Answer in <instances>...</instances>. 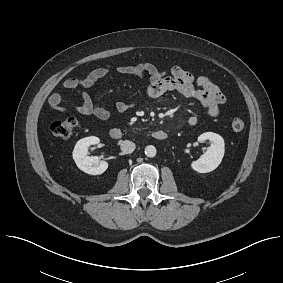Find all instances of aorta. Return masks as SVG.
<instances>
[{"label": "aorta", "instance_id": "obj_1", "mask_svg": "<svg viewBox=\"0 0 283 283\" xmlns=\"http://www.w3.org/2000/svg\"><path fill=\"white\" fill-rule=\"evenodd\" d=\"M156 153H157V150H156V148L154 146H152V145L146 146V148H145V155L147 157L153 158V157L156 156Z\"/></svg>", "mask_w": 283, "mask_h": 283}]
</instances>
